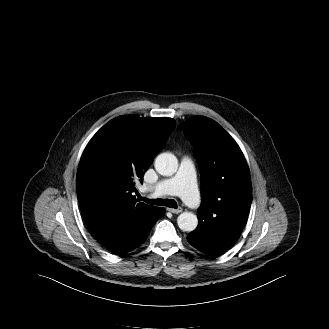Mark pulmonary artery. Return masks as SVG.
<instances>
[{
	"label": "pulmonary artery",
	"instance_id": "pulmonary-artery-1",
	"mask_svg": "<svg viewBox=\"0 0 329 329\" xmlns=\"http://www.w3.org/2000/svg\"><path fill=\"white\" fill-rule=\"evenodd\" d=\"M154 194L179 195L190 207L200 206V195L196 185V174L192 160L183 157L177 173L170 178L162 179L154 186Z\"/></svg>",
	"mask_w": 329,
	"mask_h": 329
}]
</instances>
